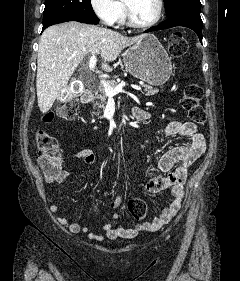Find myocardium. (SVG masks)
Here are the masks:
<instances>
[{"label":"myocardium","mask_w":240,"mask_h":281,"mask_svg":"<svg viewBox=\"0 0 240 281\" xmlns=\"http://www.w3.org/2000/svg\"><path fill=\"white\" fill-rule=\"evenodd\" d=\"M123 4H124V7H125V16H126L127 24L130 27H133V28H137V29L150 28L160 21V19L162 17V14H163L164 1L163 0H157V11H156V14H155L154 18L152 20L148 21V22L139 23V22L134 20V18L132 16V11H131L129 5L127 4L126 0H123Z\"/></svg>","instance_id":"f54148a6"}]
</instances>
